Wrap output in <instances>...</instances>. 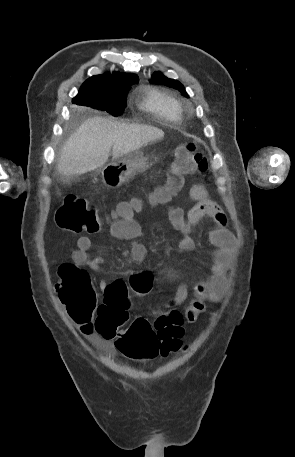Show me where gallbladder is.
I'll return each mask as SVG.
<instances>
[{"instance_id": "1", "label": "gallbladder", "mask_w": 295, "mask_h": 457, "mask_svg": "<svg viewBox=\"0 0 295 457\" xmlns=\"http://www.w3.org/2000/svg\"><path fill=\"white\" fill-rule=\"evenodd\" d=\"M59 179L63 182H68L70 180V177H67L65 175H60L59 176Z\"/></svg>"}]
</instances>
